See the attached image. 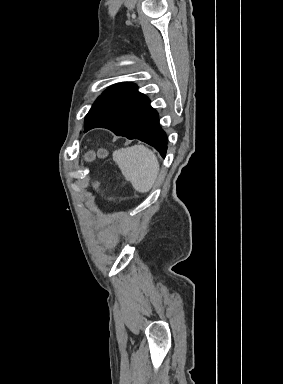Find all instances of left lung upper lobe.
<instances>
[{
    "mask_svg": "<svg viewBox=\"0 0 283 384\" xmlns=\"http://www.w3.org/2000/svg\"><path fill=\"white\" fill-rule=\"evenodd\" d=\"M136 88L132 83H118L107 89L93 104L85 117V126L108 111Z\"/></svg>",
    "mask_w": 283,
    "mask_h": 384,
    "instance_id": "left-lung-upper-lobe-1",
    "label": "left lung upper lobe"
}]
</instances>
